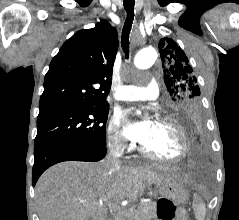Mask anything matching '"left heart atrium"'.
Returning <instances> with one entry per match:
<instances>
[{"instance_id": "1", "label": "left heart atrium", "mask_w": 239, "mask_h": 220, "mask_svg": "<svg viewBox=\"0 0 239 220\" xmlns=\"http://www.w3.org/2000/svg\"><path fill=\"white\" fill-rule=\"evenodd\" d=\"M149 120L132 122L125 129V135L132 141L143 143L149 134Z\"/></svg>"}]
</instances>
